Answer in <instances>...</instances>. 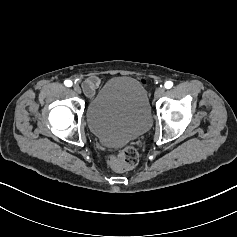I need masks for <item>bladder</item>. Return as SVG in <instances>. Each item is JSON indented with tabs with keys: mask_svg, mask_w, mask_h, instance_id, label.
<instances>
[{
	"mask_svg": "<svg viewBox=\"0 0 237 237\" xmlns=\"http://www.w3.org/2000/svg\"><path fill=\"white\" fill-rule=\"evenodd\" d=\"M85 115L91 133L110 146L140 137L152 123L148 93L129 76H116L105 82L90 99Z\"/></svg>",
	"mask_w": 237,
	"mask_h": 237,
	"instance_id": "bladder-1",
	"label": "bladder"
}]
</instances>
